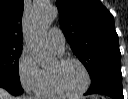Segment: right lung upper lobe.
<instances>
[{"mask_svg":"<svg viewBox=\"0 0 128 99\" xmlns=\"http://www.w3.org/2000/svg\"><path fill=\"white\" fill-rule=\"evenodd\" d=\"M23 0H0V46L21 47Z\"/></svg>","mask_w":128,"mask_h":99,"instance_id":"cb5924a9","label":"right lung upper lobe"}]
</instances>
